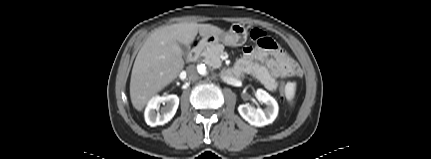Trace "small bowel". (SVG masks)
Instances as JSON below:
<instances>
[{
	"instance_id": "1",
	"label": "small bowel",
	"mask_w": 431,
	"mask_h": 159,
	"mask_svg": "<svg viewBox=\"0 0 431 159\" xmlns=\"http://www.w3.org/2000/svg\"><path fill=\"white\" fill-rule=\"evenodd\" d=\"M266 44L246 46L234 69L255 76L270 91L277 89V79L299 74L296 62L279 45L267 38Z\"/></svg>"
}]
</instances>
